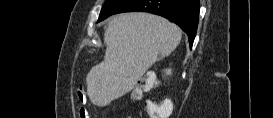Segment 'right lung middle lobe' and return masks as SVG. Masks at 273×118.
I'll use <instances>...</instances> for the list:
<instances>
[{
	"label": "right lung middle lobe",
	"instance_id": "1",
	"mask_svg": "<svg viewBox=\"0 0 273 118\" xmlns=\"http://www.w3.org/2000/svg\"><path fill=\"white\" fill-rule=\"evenodd\" d=\"M122 0H106L104 3V6L102 7V10L99 15L98 22L104 20L106 17H108L113 8L118 5Z\"/></svg>",
	"mask_w": 273,
	"mask_h": 118
}]
</instances>
